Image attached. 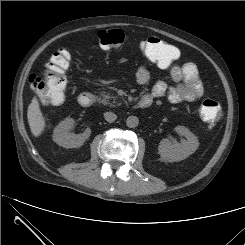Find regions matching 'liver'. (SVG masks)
Here are the masks:
<instances>
[{
    "label": "liver",
    "instance_id": "6515ba94",
    "mask_svg": "<svg viewBox=\"0 0 245 245\" xmlns=\"http://www.w3.org/2000/svg\"><path fill=\"white\" fill-rule=\"evenodd\" d=\"M27 119L32 134L35 137L40 136L44 131L46 124L36 97H33L31 103L28 106Z\"/></svg>",
    "mask_w": 245,
    "mask_h": 245
}]
</instances>
